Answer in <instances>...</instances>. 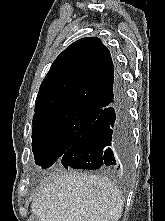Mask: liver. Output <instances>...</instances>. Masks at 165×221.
<instances>
[{
	"label": "liver",
	"mask_w": 165,
	"mask_h": 221,
	"mask_svg": "<svg viewBox=\"0 0 165 221\" xmlns=\"http://www.w3.org/2000/svg\"><path fill=\"white\" fill-rule=\"evenodd\" d=\"M31 209L39 221H118L123 201L107 178L59 171L40 187Z\"/></svg>",
	"instance_id": "liver-1"
}]
</instances>
